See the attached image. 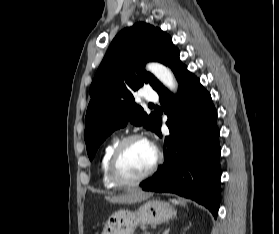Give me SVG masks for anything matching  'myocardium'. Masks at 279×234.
I'll use <instances>...</instances> for the list:
<instances>
[{
    "label": "myocardium",
    "mask_w": 279,
    "mask_h": 234,
    "mask_svg": "<svg viewBox=\"0 0 279 234\" xmlns=\"http://www.w3.org/2000/svg\"><path fill=\"white\" fill-rule=\"evenodd\" d=\"M135 140L146 141L149 143V141L144 136H142L140 134H131V135L124 137L120 141H118V143L116 144V146L113 149V152L110 156L109 163H108L109 177H110L111 181L118 187L134 186V185H137V184L141 183L142 181L146 180L148 177H150L156 171V169L158 168V166L162 160L161 153L159 152V150L156 147H154L155 159H154L153 163L151 164V166L143 174H141L140 176H138L136 178H132V179L123 178L120 175L119 169H118L119 159H120V156H121L124 148L129 143H131L132 141H135Z\"/></svg>",
    "instance_id": "f54148a6"
}]
</instances>
